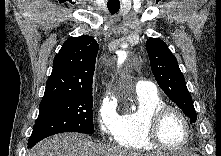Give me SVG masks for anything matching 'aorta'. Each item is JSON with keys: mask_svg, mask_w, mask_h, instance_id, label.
I'll use <instances>...</instances> for the list:
<instances>
[{"mask_svg": "<svg viewBox=\"0 0 221 156\" xmlns=\"http://www.w3.org/2000/svg\"><path fill=\"white\" fill-rule=\"evenodd\" d=\"M126 58V53L124 51L119 52V62H122Z\"/></svg>", "mask_w": 221, "mask_h": 156, "instance_id": "1", "label": "aorta"}]
</instances>
